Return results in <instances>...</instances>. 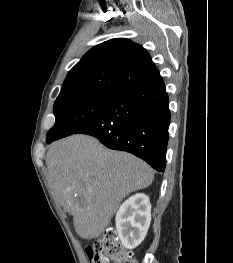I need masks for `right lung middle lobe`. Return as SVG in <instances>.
<instances>
[{
  "mask_svg": "<svg viewBox=\"0 0 233 263\" xmlns=\"http://www.w3.org/2000/svg\"><path fill=\"white\" fill-rule=\"evenodd\" d=\"M117 93L102 91L77 92L58 96L54 104L55 125L46 141L76 133L97 119L112 103Z\"/></svg>",
  "mask_w": 233,
  "mask_h": 263,
  "instance_id": "obj_1",
  "label": "right lung middle lobe"
}]
</instances>
